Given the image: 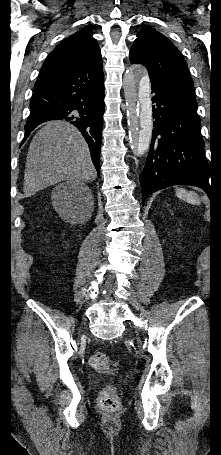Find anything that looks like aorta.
Listing matches in <instances>:
<instances>
[{"label": "aorta", "instance_id": "obj_1", "mask_svg": "<svg viewBox=\"0 0 221 455\" xmlns=\"http://www.w3.org/2000/svg\"><path fill=\"white\" fill-rule=\"evenodd\" d=\"M127 106L129 144L135 155H143L150 146L153 120L150 82L147 70L140 64L128 68L123 78Z\"/></svg>", "mask_w": 221, "mask_h": 455}]
</instances>
